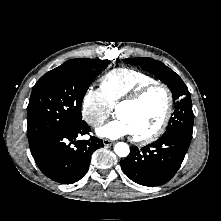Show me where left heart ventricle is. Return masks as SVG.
Returning a JSON list of instances; mask_svg holds the SVG:
<instances>
[{
	"instance_id": "obj_1",
	"label": "left heart ventricle",
	"mask_w": 221,
	"mask_h": 221,
	"mask_svg": "<svg viewBox=\"0 0 221 221\" xmlns=\"http://www.w3.org/2000/svg\"><path fill=\"white\" fill-rule=\"evenodd\" d=\"M167 96L161 88L151 90L135 105H125L116 115L129 126L132 135L144 136L153 132L164 117Z\"/></svg>"
}]
</instances>
